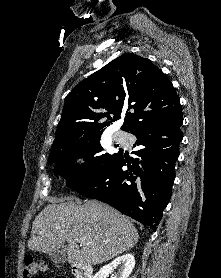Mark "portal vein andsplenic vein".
<instances>
[{"label": "portal vein and splenic vein", "mask_w": 221, "mask_h": 278, "mask_svg": "<svg viewBox=\"0 0 221 278\" xmlns=\"http://www.w3.org/2000/svg\"><path fill=\"white\" fill-rule=\"evenodd\" d=\"M77 241H79L80 243L84 244L86 242V240H82V239H76Z\"/></svg>", "instance_id": "18ae733b"}]
</instances>
